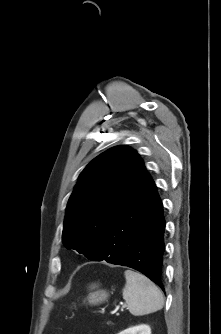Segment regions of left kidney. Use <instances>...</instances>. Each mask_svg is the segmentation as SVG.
<instances>
[{"instance_id": "obj_1", "label": "left kidney", "mask_w": 221, "mask_h": 334, "mask_svg": "<svg viewBox=\"0 0 221 334\" xmlns=\"http://www.w3.org/2000/svg\"><path fill=\"white\" fill-rule=\"evenodd\" d=\"M118 334H151V329L148 325H139L128 328Z\"/></svg>"}]
</instances>
